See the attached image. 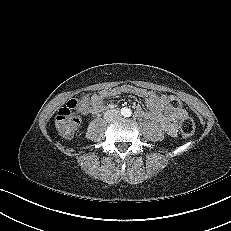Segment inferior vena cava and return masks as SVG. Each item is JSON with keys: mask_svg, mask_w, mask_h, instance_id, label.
<instances>
[{"mask_svg": "<svg viewBox=\"0 0 231 231\" xmlns=\"http://www.w3.org/2000/svg\"><path fill=\"white\" fill-rule=\"evenodd\" d=\"M109 113H111L112 115H114L115 117L119 115V111L116 109L110 110L108 112L105 113V116H107Z\"/></svg>", "mask_w": 231, "mask_h": 231, "instance_id": "obj_1", "label": "inferior vena cava"}]
</instances>
